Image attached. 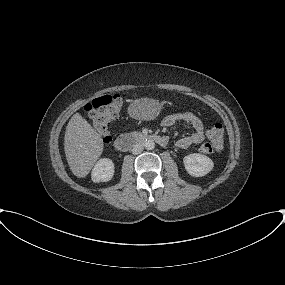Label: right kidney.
<instances>
[{
	"label": "right kidney",
	"mask_w": 285,
	"mask_h": 285,
	"mask_svg": "<svg viewBox=\"0 0 285 285\" xmlns=\"http://www.w3.org/2000/svg\"><path fill=\"white\" fill-rule=\"evenodd\" d=\"M115 166L111 159L102 158L94 166L91 179L95 183L108 182L113 178Z\"/></svg>",
	"instance_id": "ca27d5eb"
}]
</instances>
